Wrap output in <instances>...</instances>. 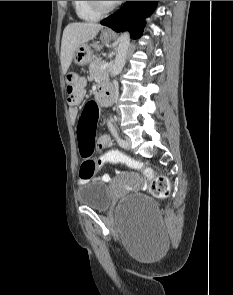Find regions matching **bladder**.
I'll use <instances>...</instances> for the list:
<instances>
[{
  "label": "bladder",
  "instance_id": "bladder-1",
  "mask_svg": "<svg viewBox=\"0 0 233 295\" xmlns=\"http://www.w3.org/2000/svg\"><path fill=\"white\" fill-rule=\"evenodd\" d=\"M78 202L96 211H106L111 204V193L108 186L101 181H89L77 189ZM119 210L124 214L138 213L147 220L158 218L155 201L145 195H131L124 198Z\"/></svg>",
  "mask_w": 233,
  "mask_h": 295
}]
</instances>
